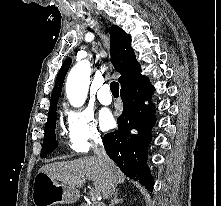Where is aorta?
<instances>
[{"label":"aorta","instance_id":"1","mask_svg":"<svg viewBox=\"0 0 221 206\" xmlns=\"http://www.w3.org/2000/svg\"><path fill=\"white\" fill-rule=\"evenodd\" d=\"M91 66L88 61L77 63L70 71L66 81V95L70 104L81 107L88 94Z\"/></svg>","mask_w":221,"mask_h":206}]
</instances>
